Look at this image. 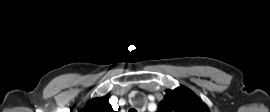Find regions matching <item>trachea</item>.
<instances>
[{"mask_svg":"<svg viewBox=\"0 0 270 112\" xmlns=\"http://www.w3.org/2000/svg\"><path fill=\"white\" fill-rule=\"evenodd\" d=\"M129 112H138V111L134 108H131V109H129Z\"/></svg>","mask_w":270,"mask_h":112,"instance_id":"obj_1","label":"trachea"}]
</instances>
